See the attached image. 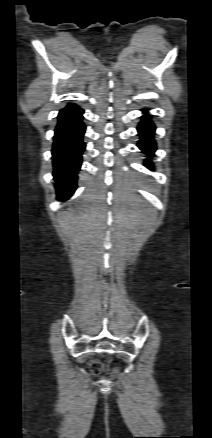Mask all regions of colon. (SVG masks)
<instances>
[{"label": "colon", "instance_id": "5ec220e1", "mask_svg": "<svg viewBox=\"0 0 212 438\" xmlns=\"http://www.w3.org/2000/svg\"><path fill=\"white\" fill-rule=\"evenodd\" d=\"M100 364L98 362H93L91 365L92 371L98 373L100 371Z\"/></svg>", "mask_w": 212, "mask_h": 438}]
</instances>
